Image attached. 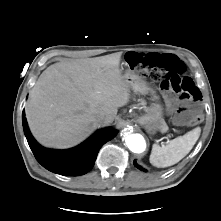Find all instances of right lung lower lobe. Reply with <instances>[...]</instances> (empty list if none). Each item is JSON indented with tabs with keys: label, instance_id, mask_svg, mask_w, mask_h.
Masks as SVG:
<instances>
[{
	"label": "right lung lower lobe",
	"instance_id": "98d812e1",
	"mask_svg": "<svg viewBox=\"0 0 221 221\" xmlns=\"http://www.w3.org/2000/svg\"><path fill=\"white\" fill-rule=\"evenodd\" d=\"M22 123L28 144L37 161L49 171L65 176H78L90 171L100 148L114 138L118 132L113 128H106L97 131L75 148L51 150L42 147L33 138L29 131L24 111L22 113Z\"/></svg>",
	"mask_w": 221,
	"mask_h": 221
}]
</instances>
